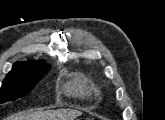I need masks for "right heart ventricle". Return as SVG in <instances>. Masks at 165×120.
Here are the masks:
<instances>
[{"mask_svg": "<svg viewBox=\"0 0 165 120\" xmlns=\"http://www.w3.org/2000/svg\"><path fill=\"white\" fill-rule=\"evenodd\" d=\"M65 90L67 93L76 96H87L95 92L88 79L80 74L66 84Z\"/></svg>", "mask_w": 165, "mask_h": 120, "instance_id": "right-heart-ventricle-1", "label": "right heart ventricle"}]
</instances>
